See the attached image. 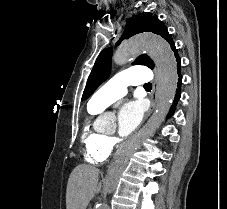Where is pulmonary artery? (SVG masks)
I'll return each mask as SVG.
<instances>
[{"mask_svg":"<svg viewBox=\"0 0 227 209\" xmlns=\"http://www.w3.org/2000/svg\"><path fill=\"white\" fill-rule=\"evenodd\" d=\"M152 78L154 73H151L148 66H130V70L116 73L104 84V88L94 91V95H90L89 105L99 109L124 96L129 84L152 83Z\"/></svg>","mask_w":227,"mask_h":209,"instance_id":"obj_1","label":"pulmonary artery"}]
</instances>
